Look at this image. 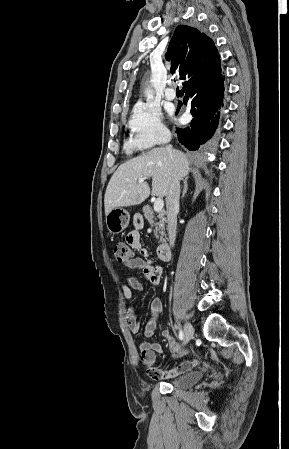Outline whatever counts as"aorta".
I'll list each match as a JSON object with an SVG mask.
<instances>
[{
    "label": "aorta",
    "instance_id": "1",
    "mask_svg": "<svg viewBox=\"0 0 289 449\" xmlns=\"http://www.w3.org/2000/svg\"><path fill=\"white\" fill-rule=\"evenodd\" d=\"M146 95H147L148 97H150V96H151V91H150V90H147Z\"/></svg>",
    "mask_w": 289,
    "mask_h": 449
}]
</instances>
